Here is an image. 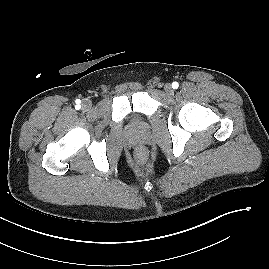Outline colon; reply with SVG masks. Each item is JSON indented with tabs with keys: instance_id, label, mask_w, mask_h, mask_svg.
<instances>
[{
	"instance_id": "obj_1",
	"label": "colon",
	"mask_w": 269,
	"mask_h": 269,
	"mask_svg": "<svg viewBox=\"0 0 269 269\" xmlns=\"http://www.w3.org/2000/svg\"><path fill=\"white\" fill-rule=\"evenodd\" d=\"M135 160H136L138 163H143V162L146 160V152H145L144 149L139 148V149L136 151V154H135Z\"/></svg>"
}]
</instances>
